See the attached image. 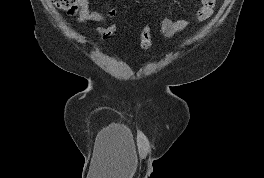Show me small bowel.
Here are the masks:
<instances>
[{"label":"small bowel","instance_id":"small-bowel-1","mask_svg":"<svg viewBox=\"0 0 264 178\" xmlns=\"http://www.w3.org/2000/svg\"><path fill=\"white\" fill-rule=\"evenodd\" d=\"M215 2L216 0H200V4L196 8L194 16L196 21L203 22L212 16ZM79 4L80 12L77 17L79 23H104L105 16L102 13L89 9V0H79ZM106 15L108 17H114L116 15V10L109 8L106 10ZM188 25L189 21L187 19L174 20L171 18H163L159 22V29L163 36L169 38L182 32Z\"/></svg>","mask_w":264,"mask_h":178}]
</instances>
